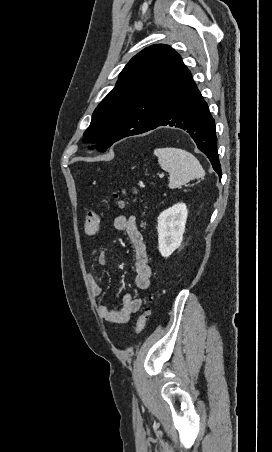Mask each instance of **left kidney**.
Returning a JSON list of instances; mask_svg holds the SVG:
<instances>
[{
	"label": "left kidney",
	"mask_w": 272,
	"mask_h": 452,
	"mask_svg": "<svg viewBox=\"0 0 272 452\" xmlns=\"http://www.w3.org/2000/svg\"><path fill=\"white\" fill-rule=\"evenodd\" d=\"M187 216L185 203H177L158 216V249L163 257H169L180 247Z\"/></svg>",
	"instance_id": "left-kidney-1"
}]
</instances>
